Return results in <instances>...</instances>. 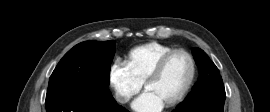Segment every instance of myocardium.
<instances>
[{
    "mask_svg": "<svg viewBox=\"0 0 270 112\" xmlns=\"http://www.w3.org/2000/svg\"><path fill=\"white\" fill-rule=\"evenodd\" d=\"M178 53H182L185 56H187V58L190 61L191 72H190V76H189V79H188L185 87L174 99H172L170 102H168L165 105L167 108L174 107V106L178 105L180 102H182L185 99V97L188 95V93L190 92L191 88L193 87V84L195 82L196 75H197V65H196V61H195L194 56L188 50H186L184 48H174L171 51L164 54L157 61V63L155 64V66L150 71V73L148 74V76L146 77V79L144 81V89H146L148 84L155 81L160 76V74L162 73L168 60L173 55L178 54Z\"/></svg>",
    "mask_w": 270,
    "mask_h": 112,
    "instance_id": "1",
    "label": "myocardium"
}]
</instances>
